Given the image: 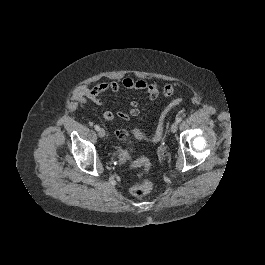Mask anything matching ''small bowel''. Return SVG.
I'll return each instance as SVG.
<instances>
[{
  "label": "small bowel",
  "instance_id": "small-bowel-1",
  "mask_svg": "<svg viewBox=\"0 0 265 265\" xmlns=\"http://www.w3.org/2000/svg\"><path fill=\"white\" fill-rule=\"evenodd\" d=\"M172 87V86H171ZM122 89L128 90H142L148 94L150 100H155L160 91V86L155 83H150L141 79H133L131 77H124L120 82L118 81H105L97 83L93 86L81 85L76 91V98L82 102H90L95 105H103V95L108 92L118 93ZM164 89V88H163ZM173 89V88H172ZM139 114L138 103L133 101L129 105L127 112H118V117L127 120L129 117H134ZM103 118L111 122L114 120L115 115L111 111L103 112Z\"/></svg>",
  "mask_w": 265,
  "mask_h": 265
}]
</instances>
